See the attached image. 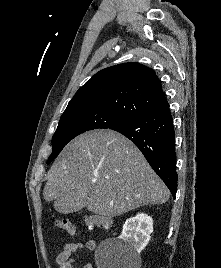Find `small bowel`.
Masks as SVG:
<instances>
[{"label":"small bowel","mask_w":221,"mask_h":268,"mask_svg":"<svg viewBox=\"0 0 221 268\" xmlns=\"http://www.w3.org/2000/svg\"><path fill=\"white\" fill-rule=\"evenodd\" d=\"M96 246H97V243L93 239L88 240L85 243H80V242L67 243L56 257V263H57L58 268H73V263H74L73 254L74 253L84 248L93 251L96 249ZM83 268H94V267L92 263L88 262L83 266Z\"/></svg>","instance_id":"c3829d8e"}]
</instances>
